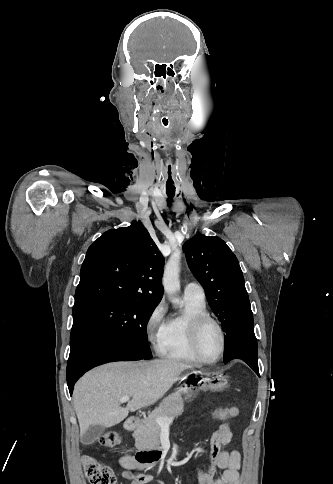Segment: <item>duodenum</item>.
<instances>
[{"instance_id": "410a0bca", "label": "duodenum", "mask_w": 333, "mask_h": 484, "mask_svg": "<svg viewBox=\"0 0 333 484\" xmlns=\"http://www.w3.org/2000/svg\"><path fill=\"white\" fill-rule=\"evenodd\" d=\"M139 426V419L137 417H129L125 422V428L127 430H135ZM155 454L149 451H140L134 457L126 453L122 457V465L126 469L140 468L142 465L148 464L153 461Z\"/></svg>"}]
</instances>
